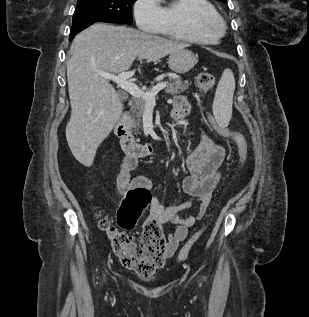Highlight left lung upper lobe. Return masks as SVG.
<instances>
[{
    "instance_id": "obj_1",
    "label": "left lung upper lobe",
    "mask_w": 309,
    "mask_h": 317,
    "mask_svg": "<svg viewBox=\"0 0 309 317\" xmlns=\"http://www.w3.org/2000/svg\"><path fill=\"white\" fill-rule=\"evenodd\" d=\"M219 1L225 2L226 0H219Z\"/></svg>"
}]
</instances>
